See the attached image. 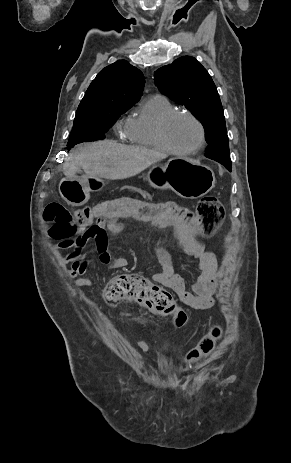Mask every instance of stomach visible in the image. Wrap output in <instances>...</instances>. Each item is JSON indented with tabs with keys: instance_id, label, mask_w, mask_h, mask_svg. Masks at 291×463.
Instances as JSON below:
<instances>
[{
	"instance_id": "1",
	"label": "stomach",
	"mask_w": 291,
	"mask_h": 463,
	"mask_svg": "<svg viewBox=\"0 0 291 463\" xmlns=\"http://www.w3.org/2000/svg\"><path fill=\"white\" fill-rule=\"evenodd\" d=\"M156 183L166 185L179 196L196 199L204 196L215 186L214 172L205 165L186 157H172L164 165L163 172L154 171ZM99 185L80 178H65L59 183L61 197L69 204L80 206L86 203L92 189Z\"/></svg>"
}]
</instances>
